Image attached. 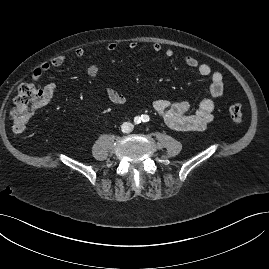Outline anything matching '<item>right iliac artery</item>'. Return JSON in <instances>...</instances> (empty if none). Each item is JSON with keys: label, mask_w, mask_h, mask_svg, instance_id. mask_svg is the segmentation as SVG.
I'll return each instance as SVG.
<instances>
[{"label": "right iliac artery", "mask_w": 269, "mask_h": 269, "mask_svg": "<svg viewBox=\"0 0 269 269\" xmlns=\"http://www.w3.org/2000/svg\"><path fill=\"white\" fill-rule=\"evenodd\" d=\"M135 122H136V123H140V122H141L140 117H136V118H135Z\"/></svg>", "instance_id": "1"}]
</instances>
